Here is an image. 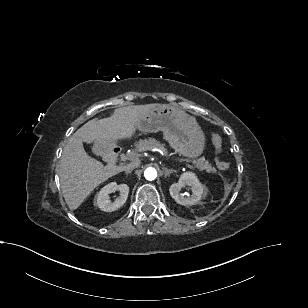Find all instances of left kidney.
I'll return each mask as SVG.
<instances>
[{"label": "left kidney", "mask_w": 308, "mask_h": 308, "mask_svg": "<svg viewBox=\"0 0 308 308\" xmlns=\"http://www.w3.org/2000/svg\"><path fill=\"white\" fill-rule=\"evenodd\" d=\"M188 187L192 191V195L184 197L180 193L181 188ZM169 192L171 197L181 205H195L205 195L204 187L192 172H186L181 175L179 181L170 186Z\"/></svg>", "instance_id": "5707ae66"}]
</instances>
